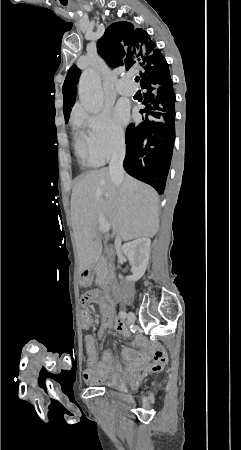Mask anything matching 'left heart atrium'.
<instances>
[{
  "instance_id": "left-heart-atrium-1",
  "label": "left heart atrium",
  "mask_w": 241,
  "mask_h": 450,
  "mask_svg": "<svg viewBox=\"0 0 241 450\" xmlns=\"http://www.w3.org/2000/svg\"><path fill=\"white\" fill-rule=\"evenodd\" d=\"M114 115H115L116 120L121 124L126 123L128 120V111L121 105H118L116 107Z\"/></svg>"
}]
</instances>
